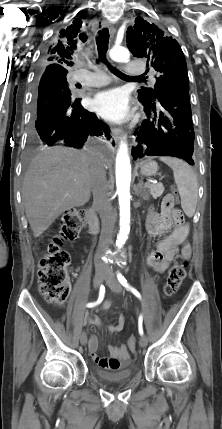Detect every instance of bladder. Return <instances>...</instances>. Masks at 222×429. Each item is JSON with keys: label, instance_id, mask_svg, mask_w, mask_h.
Instances as JSON below:
<instances>
[{"label": "bladder", "instance_id": "obj_1", "mask_svg": "<svg viewBox=\"0 0 222 429\" xmlns=\"http://www.w3.org/2000/svg\"><path fill=\"white\" fill-rule=\"evenodd\" d=\"M134 365L121 369L116 372H107L99 368H95V375L100 380L107 383H123L130 380L133 375Z\"/></svg>", "mask_w": 222, "mask_h": 429}]
</instances>
